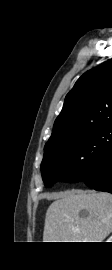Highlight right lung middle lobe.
<instances>
[{"mask_svg": "<svg viewBox=\"0 0 112 270\" xmlns=\"http://www.w3.org/2000/svg\"><path fill=\"white\" fill-rule=\"evenodd\" d=\"M112 146V124L100 126L44 150L42 178L47 188L57 181H82L96 168L101 155Z\"/></svg>", "mask_w": 112, "mask_h": 270, "instance_id": "dd1d6c3e", "label": "right lung middle lobe"}]
</instances>
